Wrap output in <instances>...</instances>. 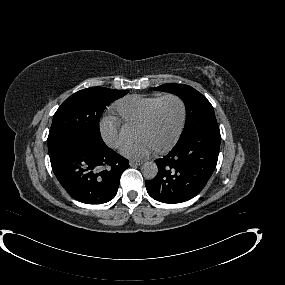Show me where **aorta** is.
<instances>
[{
    "label": "aorta",
    "instance_id": "762f6f07",
    "mask_svg": "<svg viewBox=\"0 0 285 285\" xmlns=\"http://www.w3.org/2000/svg\"><path fill=\"white\" fill-rule=\"evenodd\" d=\"M141 172L146 179H153L158 173V167L154 162H145L141 167Z\"/></svg>",
    "mask_w": 285,
    "mask_h": 285
}]
</instances>
